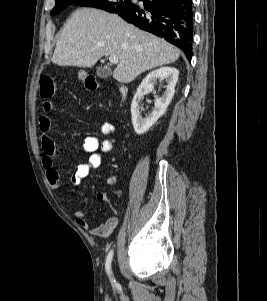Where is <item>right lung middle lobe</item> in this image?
I'll list each match as a JSON object with an SVG mask.
<instances>
[{
    "label": "right lung middle lobe",
    "mask_w": 267,
    "mask_h": 301,
    "mask_svg": "<svg viewBox=\"0 0 267 301\" xmlns=\"http://www.w3.org/2000/svg\"><path fill=\"white\" fill-rule=\"evenodd\" d=\"M70 4L98 8L116 14L125 12L135 5L131 0H56L51 15L61 12Z\"/></svg>",
    "instance_id": "1"
}]
</instances>
